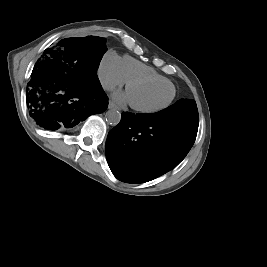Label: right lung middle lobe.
Instances as JSON below:
<instances>
[{
    "instance_id": "obj_1",
    "label": "right lung middle lobe",
    "mask_w": 267,
    "mask_h": 267,
    "mask_svg": "<svg viewBox=\"0 0 267 267\" xmlns=\"http://www.w3.org/2000/svg\"><path fill=\"white\" fill-rule=\"evenodd\" d=\"M106 39L97 36L83 38H66L59 42V46L72 50L77 58L85 61L87 70L97 71L100 61L106 52Z\"/></svg>"
}]
</instances>
